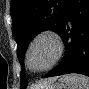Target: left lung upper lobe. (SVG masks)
<instances>
[{
	"instance_id": "5c2ea615",
	"label": "left lung upper lobe",
	"mask_w": 89,
	"mask_h": 89,
	"mask_svg": "<svg viewBox=\"0 0 89 89\" xmlns=\"http://www.w3.org/2000/svg\"><path fill=\"white\" fill-rule=\"evenodd\" d=\"M70 0H11L12 32L17 42L21 63V89L27 86L24 75V55L30 41L41 31L59 34Z\"/></svg>"
}]
</instances>
